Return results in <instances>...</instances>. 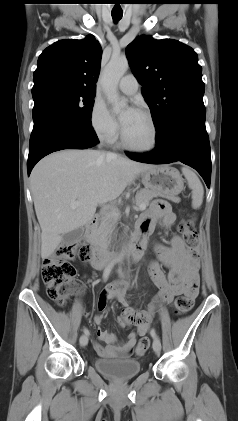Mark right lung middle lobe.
<instances>
[{
	"label": "right lung middle lobe",
	"mask_w": 238,
	"mask_h": 421,
	"mask_svg": "<svg viewBox=\"0 0 238 421\" xmlns=\"http://www.w3.org/2000/svg\"><path fill=\"white\" fill-rule=\"evenodd\" d=\"M96 91L61 83H43L32 88L33 113L50 107L71 117L74 121L91 127V113Z\"/></svg>",
	"instance_id": "1"
}]
</instances>
